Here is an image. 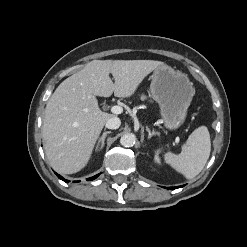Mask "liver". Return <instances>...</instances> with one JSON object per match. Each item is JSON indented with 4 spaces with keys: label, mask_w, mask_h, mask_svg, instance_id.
I'll list each match as a JSON object with an SVG mask.
<instances>
[{
    "label": "liver",
    "mask_w": 247,
    "mask_h": 247,
    "mask_svg": "<svg viewBox=\"0 0 247 247\" xmlns=\"http://www.w3.org/2000/svg\"><path fill=\"white\" fill-rule=\"evenodd\" d=\"M162 64L154 60H93L65 79L46 105L42 127L52 168L73 174L89 162L104 125L113 117L99 109L96 96L110 97L114 93L116 97H130Z\"/></svg>",
    "instance_id": "liver-1"
}]
</instances>
